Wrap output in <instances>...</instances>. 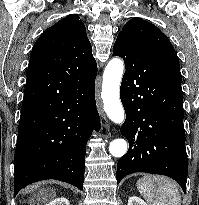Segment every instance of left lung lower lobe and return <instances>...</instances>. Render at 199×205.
I'll return each instance as SVG.
<instances>
[{
	"mask_svg": "<svg viewBox=\"0 0 199 205\" xmlns=\"http://www.w3.org/2000/svg\"><path fill=\"white\" fill-rule=\"evenodd\" d=\"M113 55L126 71L120 98L126 120L120 131L129 142L117 163V183L135 172L166 175L186 191L188 161L183 126L182 89L148 55L117 39Z\"/></svg>",
	"mask_w": 199,
	"mask_h": 205,
	"instance_id": "obj_1",
	"label": "left lung lower lobe"
}]
</instances>
